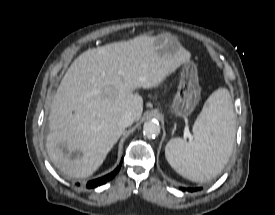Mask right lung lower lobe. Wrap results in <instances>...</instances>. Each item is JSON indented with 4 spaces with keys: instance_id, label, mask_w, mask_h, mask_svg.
<instances>
[{
    "instance_id": "1",
    "label": "right lung lower lobe",
    "mask_w": 275,
    "mask_h": 215,
    "mask_svg": "<svg viewBox=\"0 0 275 215\" xmlns=\"http://www.w3.org/2000/svg\"><path fill=\"white\" fill-rule=\"evenodd\" d=\"M122 165V162L120 163V165L113 171L111 172L110 174L104 176V177H101V178H98V179H95V180H92V181H89L87 183V188H95L99 185H102L104 183H106L107 181L111 180L117 173L118 171L120 170V167Z\"/></svg>"
}]
</instances>
